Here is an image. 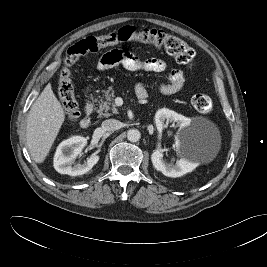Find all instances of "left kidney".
<instances>
[{
  "instance_id": "obj_1",
  "label": "left kidney",
  "mask_w": 267,
  "mask_h": 267,
  "mask_svg": "<svg viewBox=\"0 0 267 267\" xmlns=\"http://www.w3.org/2000/svg\"><path fill=\"white\" fill-rule=\"evenodd\" d=\"M176 122L181 130L190 126L191 120L181 114H178L172 110L163 108L156 112L155 114V123L159 131H162L164 128V122ZM177 146H180V142H177ZM151 161L154 168L161 172L167 177H181L186 173L192 172L196 167L197 163L188 157H183L177 160L175 165H170L165 163L163 160V154L160 150H156L151 155Z\"/></svg>"
}]
</instances>
